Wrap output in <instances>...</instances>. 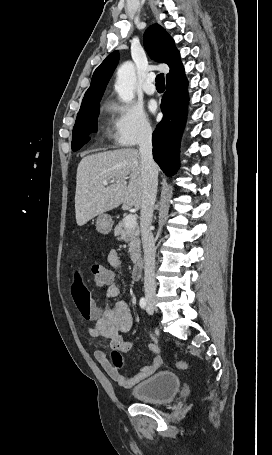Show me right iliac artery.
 Returning a JSON list of instances; mask_svg holds the SVG:
<instances>
[{
	"mask_svg": "<svg viewBox=\"0 0 272 455\" xmlns=\"http://www.w3.org/2000/svg\"><path fill=\"white\" fill-rule=\"evenodd\" d=\"M139 304H140V307H141V308L145 309V307H146V299L142 297V298L140 299Z\"/></svg>",
	"mask_w": 272,
	"mask_h": 455,
	"instance_id": "82829eb1",
	"label": "right iliac artery"
}]
</instances>
